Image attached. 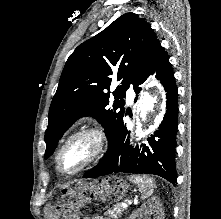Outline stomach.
<instances>
[{"label":"stomach","mask_w":221,"mask_h":219,"mask_svg":"<svg viewBox=\"0 0 221 219\" xmlns=\"http://www.w3.org/2000/svg\"><path fill=\"white\" fill-rule=\"evenodd\" d=\"M121 181L115 176L94 178L89 184H78L75 190H57V195H62V199H75V204H88L91 199H122L127 184Z\"/></svg>","instance_id":"0dacf381"}]
</instances>
